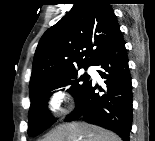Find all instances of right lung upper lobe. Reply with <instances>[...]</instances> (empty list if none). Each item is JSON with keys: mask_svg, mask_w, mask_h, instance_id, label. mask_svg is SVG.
<instances>
[{"mask_svg": "<svg viewBox=\"0 0 155 141\" xmlns=\"http://www.w3.org/2000/svg\"><path fill=\"white\" fill-rule=\"evenodd\" d=\"M108 0H78L41 37L34 56L29 88L42 80L93 65L120 33Z\"/></svg>", "mask_w": 155, "mask_h": 141, "instance_id": "cb5924a9", "label": "right lung upper lobe"}]
</instances>
